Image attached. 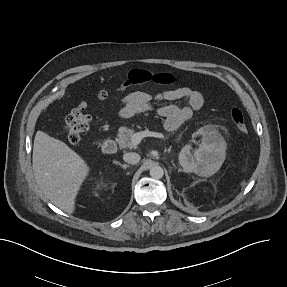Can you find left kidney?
<instances>
[{"label": "left kidney", "instance_id": "left-kidney-1", "mask_svg": "<svg viewBox=\"0 0 287 287\" xmlns=\"http://www.w3.org/2000/svg\"><path fill=\"white\" fill-rule=\"evenodd\" d=\"M199 134L202 136L199 148L192 154V146L185 145L180 151L179 162L185 171L209 177L222 166L226 157V143L213 127H203Z\"/></svg>", "mask_w": 287, "mask_h": 287}]
</instances>
